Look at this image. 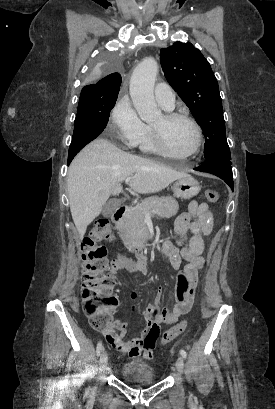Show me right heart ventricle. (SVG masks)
<instances>
[{
  "label": "right heart ventricle",
  "mask_w": 275,
  "mask_h": 409,
  "mask_svg": "<svg viewBox=\"0 0 275 409\" xmlns=\"http://www.w3.org/2000/svg\"><path fill=\"white\" fill-rule=\"evenodd\" d=\"M138 145H139L140 151L144 154H150V155H160L161 154V152L154 145L152 125L144 124L143 133H142V136L140 138Z\"/></svg>",
  "instance_id": "right-heart-ventricle-1"
}]
</instances>
